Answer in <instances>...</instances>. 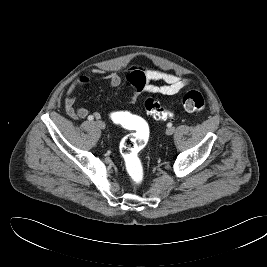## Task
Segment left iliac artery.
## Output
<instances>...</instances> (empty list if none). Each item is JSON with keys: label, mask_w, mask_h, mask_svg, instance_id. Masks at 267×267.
Returning a JSON list of instances; mask_svg holds the SVG:
<instances>
[{"label": "left iliac artery", "mask_w": 267, "mask_h": 267, "mask_svg": "<svg viewBox=\"0 0 267 267\" xmlns=\"http://www.w3.org/2000/svg\"><path fill=\"white\" fill-rule=\"evenodd\" d=\"M167 127H172V123L169 122V123L167 124Z\"/></svg>", "instance_id": "left-iliac-artery-1"}]
</instances>
